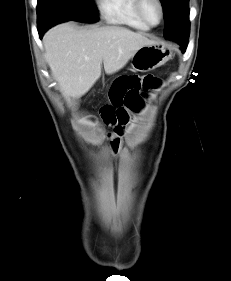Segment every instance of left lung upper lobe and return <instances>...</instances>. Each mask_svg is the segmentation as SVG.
Returning a JSON list of instances; mask_svg holds the SVG:
<instances>
[{
	"mask_svg": "<svg viewBox=\"0 0 231 281\" xmlns=\"http://www.w3.org/2000/svg\"><path fill=\"white\" fill-rule=\"evenodd\" d=\"M165 16L164 36L168 38L177 30L189 31V0H160Z\"/></svg>",
	"mask_w": 231,
	"mask_h": 281,
	"instance_id": "obj_1",
	"label": "left lung upper lobe"
}]
</instances>
